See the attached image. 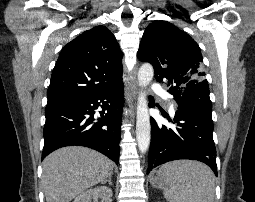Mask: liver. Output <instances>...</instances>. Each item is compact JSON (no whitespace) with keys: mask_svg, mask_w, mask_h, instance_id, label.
<instances>
[{"mask_svg":"<svg viewBox=\"0 0 255 202\" xmlns=\"http://www.w3.org/2000/svg\"><path fill=\"white\" fill-rule=\"evenodd\" d=\"M42 184L47 202H70L112 175L113 162L92 149L60 148L43 161Z\"/></svg>","mask_w":255,"mask_h":202,"instance_id":"obj_1","label":"liver"}]
</instances>
